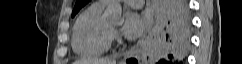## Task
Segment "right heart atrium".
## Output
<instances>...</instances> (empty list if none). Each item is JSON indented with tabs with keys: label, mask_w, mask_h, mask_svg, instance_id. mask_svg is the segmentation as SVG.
<instances>
[{
	"label": "right heart atrium",
	"mask_w": 242,
	"mask_h": 64,
	"mask_svg": "<svg viewBox=\"0 0 242 64\" xmlns=\"http://www.w3.org/2000/svg\"><path fill=\"white\" fill-rule=\"evenodd\" d=\"M110 37H111V39H118V35L115 31H111Z\"/></svg>",
	"instance_id": "1"
}]
</instances>
